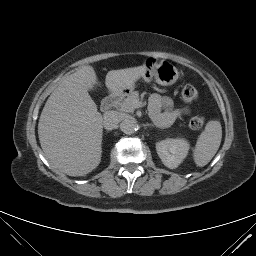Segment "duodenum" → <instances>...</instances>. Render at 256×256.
Listing matches in <instances>:
<instances>
[{"label": "duodenum", "instance_id": "obj_1", "mask_svg": "<svg viewBox=\"0 0 256 256\" xmlns=\"http://www.w3.org/2000/svg\"><path fill=\"white\" fill-rule=\"evenodd\" d=\"M123 95L122 91H115L112 92L111 94H109L107 97L104 98L103 102H102V109L105 112L110 111L114 104L116 103V101Z\"/></svg>", "mask_w": 256, "mask_h": 256}]
</instances>
